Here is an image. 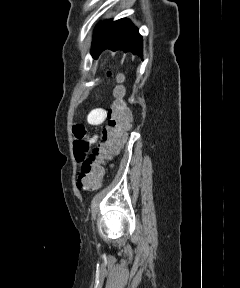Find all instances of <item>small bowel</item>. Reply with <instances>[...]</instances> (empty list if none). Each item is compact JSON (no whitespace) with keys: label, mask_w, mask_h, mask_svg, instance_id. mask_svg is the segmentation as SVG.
<instances>
[{"label":"small bowel","mask_w":240,"mask_h":288,"mask_svg":"<svg viewBox=\"0 0 240 288\" xmlns=\"http://www.w3.org/2000/svg\"><path fill=\"white\" fill-rule=\"evenodd\" d=\"M107 118V111L104 108H94L87 115V124L93 127L102 125ZM74 146L73 151L77 162L80 164L86 158L89 148L98 140V135H90L82 124L73 126Z\"/></svg>","instance_id":"1"}]
</instances>
